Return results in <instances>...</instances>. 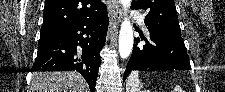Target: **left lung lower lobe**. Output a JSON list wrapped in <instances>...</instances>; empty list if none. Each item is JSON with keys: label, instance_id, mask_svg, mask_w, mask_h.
Here are the masks:
<instances>
[{"label": "left lung lower lobe", "instance_id": "1", "mask_svg": "<svg viewBox=\"0 0 225 92\" xmlns=\"http://www.w3.org/2000/svg\"><path fill=\"white\" fill-rule=\"evenodd\" d=\"M150 42L143 46L136 42L124 72L123 81L133 70H190L189 56L181 35L162 27L147 26Z\"/></svg>", "mask_w": 225, "mask_h": 92}]
</instances>
